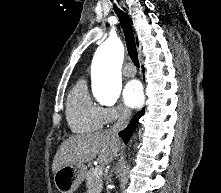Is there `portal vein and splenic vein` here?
<instances>
[{
  "instance_id": "1",
  "label": "portal vein and splenic vein",
  "mask_w": 221,
  "mask_h": 193,
  "mask_svg": "<svg viewBox=\"0 0 221 193\" xmlns=\"http://www.w3.org/2000/svg\"><path fill=\"white\" fill-rule=\"evenodd\" d=\"M94 173H95L96 175H102V173H103V166H97V167L95 168Z\"/></svg>"
}]
</instances>
